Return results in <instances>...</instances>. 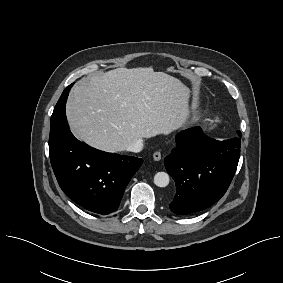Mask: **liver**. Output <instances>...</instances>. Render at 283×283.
Instances as JSON below:
<instances>
[{"mask_svg":"<svg viewBox=\"0 0 283 283\" xmlns=\"http://www.w3.org/2000/svg\"><path fill=\"white\" fill-rule=\"evenodd\" d=\"M189 97V89L166 73L122 67L80 80L70 92L66 114L78 139L118 153L135 140L183 127Z\"/></svg>","mask_w":283,"mask_h":283,"instance_id":"1","label":"liver"}]
</instances>
